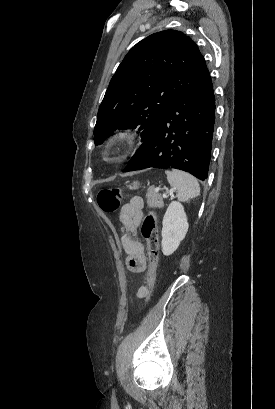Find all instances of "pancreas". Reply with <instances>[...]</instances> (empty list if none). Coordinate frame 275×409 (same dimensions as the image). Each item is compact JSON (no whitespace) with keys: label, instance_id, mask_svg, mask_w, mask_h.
<instances>
[{"label":"pancreas","instance_id":"cf45deb5","mask_svg":"<svg viewBox=\"0 0 275 409\" xmlns=\"http://www.w3.org/2000/svg\"><path fill=\"white\" fill-rule=\"evenodd\" d=\"M147 200L149 207H164V202L161 194L159 192H154L153 188H149L147 194Z\"/></svg>","mask_w":275,"mask_h":409}]
</instances>
